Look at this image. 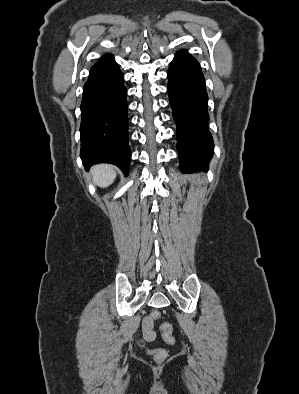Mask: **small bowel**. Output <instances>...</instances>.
I'll list each match as a JSON object with an SVG mask.
<instances>
[{
  "label": "small bowel",
  "instance_id": "obj_1",
  "mask_svg": "<svg viewBox=\"0 0 299 394\" xmlns=\"http://www.w3.org/2000/svg\"><path fill=\"white\" fill-rule=\"evenodd\" d=\"M143 337L146 341H154L156 333L153 330V320L151 317H145L142 325Z\"/></svg>",
  "mask_w": 299,
  "mask_h": 394
}]
</instances>
